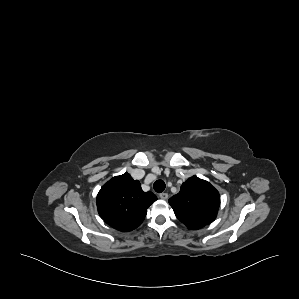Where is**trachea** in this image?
Masks as SVG:
<instances>
[{
  "label": "trachea",
  "mask_w": 299,
  "mask_h": 299,
  "mask_svg": "<svg viewBox=\"0 0 299 299\" xmlns=\"http://www.w3.org/2000/svg\"><path fill=\"white\" fill-rule=\"evenodd\" d=\"M153 187H154V190L157 193H161V192L164 191L166 185H165V182L163 180H157V181H155Z\"/></svg>",
  "instance_id": "3493384b"
}]
</instances>
